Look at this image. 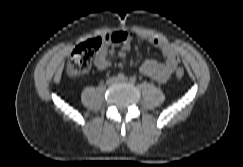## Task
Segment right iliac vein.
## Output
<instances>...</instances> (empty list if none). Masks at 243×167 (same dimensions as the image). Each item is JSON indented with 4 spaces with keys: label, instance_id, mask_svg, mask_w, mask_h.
Instances as JSON below:
<instances>
[{
    "label": "right iliac vein",
    "instance_id": "right-iliac-vein-1",
    "mask_svg": "<svg viewBox=\"0 0 243 167\" xmlns=\"http://www.w3.org/2000/svg\"><path fill=\"white\" fill-rule=\"evenodd\" d=\"M117 80H116V78H110L109 80H108V83L109 84H113L114 82H116Z\"/></svg>",
    "mask_w": 243,
    "mask_h": 167
}]
</instances>
